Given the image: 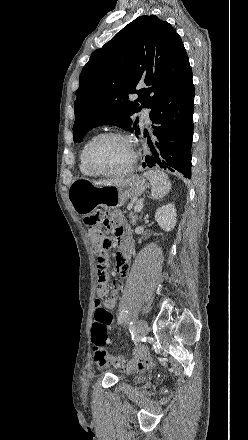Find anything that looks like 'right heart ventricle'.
Instances as JSON below:
<instances>
[{"instance_id":"right-heart-ventricle-1","label":"right heart ventricle","mask_w":248,"mask_h":440,"mask_svg":"<svg viewBox=\"0 0 248 440\" xmlns=\"http://www.w3.org/2000/svg\"><path fill=\"white\" fill-rule=\"evenodd\" d=\"M95 136H91L82 146L80 152H79V170L82 174L86 176H92L93 174L88 170L86 164H85V152L89 145V143L92 141V139Z\"/></svg>"}]
</instances>
